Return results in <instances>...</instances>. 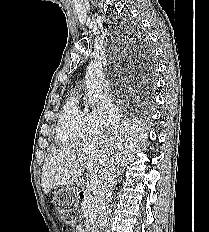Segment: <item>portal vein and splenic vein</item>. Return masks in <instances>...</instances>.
<instances>
[{"label": "portal vein and splenic vein", "mask_w": 209, "mask_h": 232, "mask_svg": "<svg viewBox=\"0 0 209 232\" xmlns=\"http://www.w3.org/2000/svg\"><path fill=\"white\" fill-rule=\"evenodd\" d=\"M83 166H86V164H82ZM98 186V176L96 174H92L90 176V188L91 190H96Z\"/></svg>", "instance_id": "1"}]
</instances>
